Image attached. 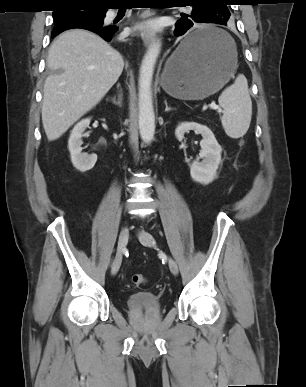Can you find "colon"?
I'll return each mask as SVG.
<instances>
[{"label":"colon","mask_w":306,"mask_h":387,"mask_svg":"<svg viewBox=\"0 0 306 387\" xmlns=\"http://www.w3.org/2000/svg\"><path fill=\"white\" fill-rule=\"evenodd\" d=\"M132 282L136 286H141L146 283V277L142 274H134L132 276Z\"/></svg>","instance_id":"obj_1"}]
</instances>
